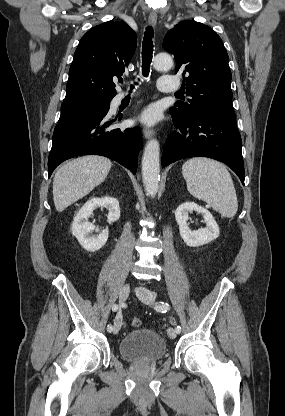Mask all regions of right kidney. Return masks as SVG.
Instances as JSON below:
<instances>
[{
  "mask_svg": "<svg viewBox=\"0 0 285 416\" xmlns=\"http://www.w3.org/2000/svg\"><path fill=\"white\" fill-rule=\"evenodd\" d=\"M96 208H107L109 214L107 216V222H117L120 218L119 202L116 198H92L88 200L82 208H80L78 214H76L72 222V234L77 238L80 246L87 250V252H96L100 250L102 246H105L108 240V228L99 232L98 228L94 224L88 222L90 214ZM99 232L98 236H93L92 232Z\"/></svg>",
  "mask_w": 285,
  "mask_h": 416,
  "instance_id": "right-kidney-1",
  "label": "right kidney"
}]
</instances>
